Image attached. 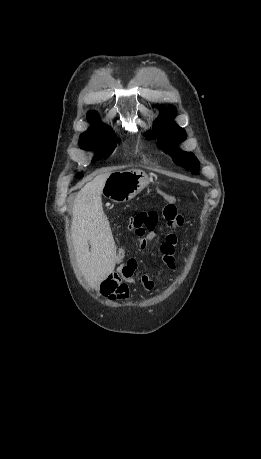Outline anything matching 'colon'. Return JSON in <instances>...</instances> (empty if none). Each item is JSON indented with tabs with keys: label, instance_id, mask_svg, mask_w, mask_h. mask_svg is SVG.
Segmentation results:
<instances>
[{
	"label": "colon",
	"instance_id": "colon-1",
	"mask_svg": "<svg viewBox=\"0 0 261 459\" xmlns=\"http://www.w3.org/2000/svg\"><path fill=\"white\" fill-rule=\"evenodd\" d=\"M160 196L164 200V206L162 208V218L166 225L172 229H168L166 235L168 238H175L177 232L173 228H178L183 224V217L177 212L176 209V198L166 191H160ZM159 223V216L155 211H145L138 213L132 219V226L137 233L143 234L148 231H153ZM126 241L122 242V245L116 247V258L119 261H128L131 255L128 253Z\"/></svg>",
	"mask_w": 261,
	"mask_h": 459
}]
</instances>
